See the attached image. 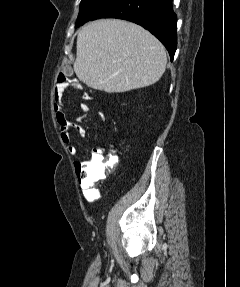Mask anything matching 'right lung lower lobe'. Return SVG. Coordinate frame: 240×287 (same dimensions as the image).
I'll return each instance as SVG.
<instances>
[{
  "label": "right lung lower lobe",
  "instance_id": "right-lung-lower-lobe-1",
  "mask_svg": "<svg viewBox=\"0 0 240 287\" xmlns=\"http://www.w3.org/2000/svg\"><path fill=\"white\" fill-rule=\"evenodd\" d=\"M172 0H108L91 20L119 18L141 25L156 36L171 57L177 47V16Z\"/></svg>",
  "mask_w": 240,
  "mask_h": 287
}]
</instances>
